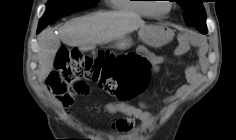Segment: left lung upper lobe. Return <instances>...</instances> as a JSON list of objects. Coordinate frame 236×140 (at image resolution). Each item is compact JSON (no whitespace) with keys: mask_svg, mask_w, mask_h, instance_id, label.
<instances>
[{"mask_svg":"<svg viewBox=\"0 0 236 140\" xmlns=\"http://www.w3.org/2000/svg\"><path fill=\"white\" fill-rule=\"evenodd\" d=\"M184 11L183 17L187 26H193L202 34H207L206 13L202 0H176Z\"/></svg>","mask_w":236,"mask_h":140,"instance_id":"1","label":"left lung upper lobe"}]
</instances>
